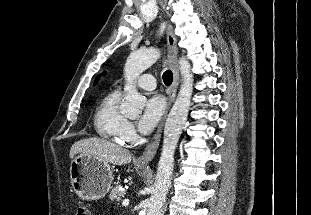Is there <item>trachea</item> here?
Instances as JSON below:
<instances>
[{"label": "trachea", "mask_w": 311, "mask_h": 215, "mask_svg": "<svg viewBox=\"0 0 311 215\" xmlns=\"http://www.w3.org/2000/svg\"><path fill=\"white\" fill-rule=\"evenodd\" d=\"M162 78H163L164 84L166 86H169V85H171V83L173 81V73L170 70H167L163 73Z\"/></svg>", "instance_id": "obj_1"}]
</instances>
